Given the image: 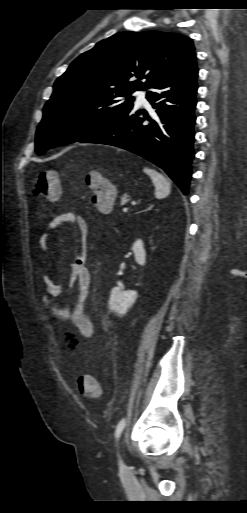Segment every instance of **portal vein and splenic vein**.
<instances>
[{"mask_svg":"<svg viewBox=\"0 0 247 513\" xmlns=\"http://www.w3.org/2000/svg\"><path fill=\"white\" fill-rule=\"evenodd\" d=\"M123 213H127L128 212V208H123Z\"/></svg>","mask_w":247,"mask_h":513,"instance_id":"obj_1","label":"portal vein and splenic vein"}]
</instances>
